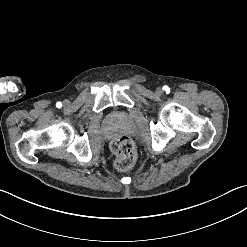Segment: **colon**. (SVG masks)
<instances>
[{
  "instance_id": "5ec220e1",
  "label": "colon",
  "mask_w": 247,
  "mask_h": 247,
  "mask_svg": "<svg viewBox=\"0 0 247 247\" xmlns=\"http://www.w3.org/2000/svg\"><path fill=\"white\" fill-rule=\"evenodd\" d=\"M112 149L117 154L115 160L116 170L125 172L133 167L137 159V153L133 143L128 137L122 136L114 140Z\"/></svg>"
}]
</instances>
